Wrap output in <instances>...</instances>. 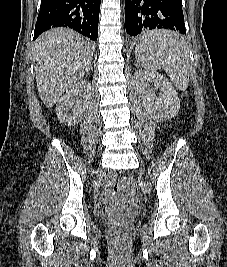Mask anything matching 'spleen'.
Wrapping results in <instances>:
<instances>
[{
    "mask_svg": "<svg viewBox=\"0 0 227 267\" xmlns=\"http://www.w3.org/2000/svg\"><path fill=\"white\" fill-rule=\"evenodd\" d=\"M134 55L140 67L152 72L162 67L175 86L185 90L188 86L189 54L184 37L174 31L153 30L135 39Z\"/></svg>",
    "mask_w": 227,
    "mask_h": 267,
    "instance_id": "3e777b00",
    "label": "spleen"
}]
</instances>
